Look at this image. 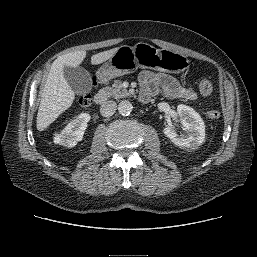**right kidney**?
<instances>
[{"label": "right kidney", "mask_w": 257, "mask_h": 257, "mask_svg": "<svg viewBox=\"0 0 257 257\" xmlns=\"http://www.w3.org/2000/svg\"><path fill=\"white\" fill-rule=\"evenodd\" d=\"M90 118L88 113L79 114L59 134L55 135L54 143L68 148L76 146L83 139Z\"/></svg>", "instance_id": "1"}]
</instances>
